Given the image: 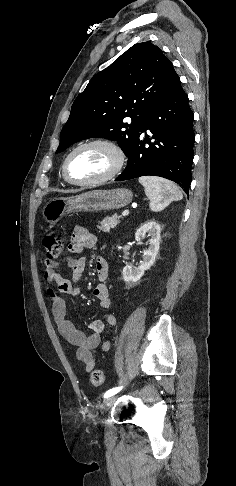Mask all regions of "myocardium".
Masks as SVG:
<instances>
[{
	"label": "myocardium",
	"instance_id": "obj_1",
	"mask_svg": "<svg viewBox=\"0 0 236 486\" xmlns=\"http://www.w3.org/2000/svg\"><path fill=\"white\" fill-rule=\"evenodd\" d=\"M90 146H103L109 149L114 156V165L109 172H107L106 174L98 178L88 180V181L74 180L69 175V170H68L69 162L76 152ZM125 161H126L125 153L117 143L107 139H94V140L83 142L78 146H76L65 158L62 171L65 180L70 184L77 185V186H93V185L105 183L117 177L122 171Z\"/></svg>",
	"mask_w": 236,
	"mask_h": 486
}]
</instances>
